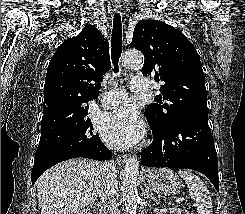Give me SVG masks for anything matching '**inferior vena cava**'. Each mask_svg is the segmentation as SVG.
<instances>
[{
    "mask_svg": "<svg viewBox=\"0 0 245 214\" xmlns=\"http://www.w3.org/2000/svg\"><path fill=\"white\" fill-rule=\"evenodd\" d=\"M118 196L116 165L114 161H108L102 165V182L99 189L100 205L104 214H119Z\"/></svg>",
    "mask_w": 245,
    "mask_h": 214,
    "instance_id": "1",
    "label": "inferior vena cava"
}]
</instances>
